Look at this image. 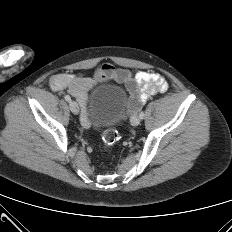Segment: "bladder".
<instances>
[{
	"instance_id": "bladder-1",
	"label": "bladder",
	"mask_w": 232,
	"mask_h": 232,
	"mask_svg": "<svg viewBox=\"0 0 232 232\" xmlns=\"http://www.w3.org/2000/svg\"><path fill=\"white\" fill-rule=\"evenodd\" d=\"M122 87L102 84L95 88L88 102L91 120L97 125H108L118 119L125 105Z\"/></svg>"
}]
</instances>
